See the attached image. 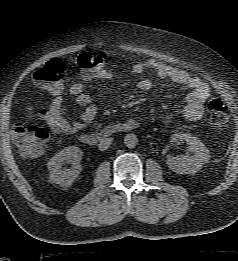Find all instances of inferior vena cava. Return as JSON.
Returning a JSON list of instances; mask_svg holds the SVG:
<instances>
[{"label": "inferior vena cava", "mask_w": 238, "mask_h": 261, "mask_svg": "<svg viewBox=\"0 0 238 261\" xmlns=\"http://www.w3.org/2000/svg\"><path fill=\"white\" fill-rule=\"evenodd\" d=\"M111 142H112V138L102 139L98 145L99 150L105 151L110 146Z\"/></svg>", "instance_id": "inferior-vena-cava-1"}]
</instances>
